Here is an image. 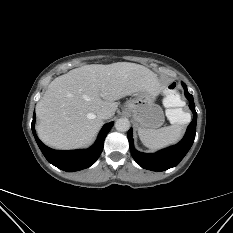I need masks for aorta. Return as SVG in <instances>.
Instances as JSON below:
<instances>
[{
    "mask_svg": "<svg viewBox=\"0 0 233 233\" xmlns=\"http://www.w3.org/2000/svg\"><path fill=\"white\" fill-rule=\"evenodd\" d=\"M115 128L117 131L126 132L130 128V122L128 119L120 118L115 122Z\"/></svg>",
    "mask_w": 233,
    "mask_h": 233,
    "instance_id": "obj_1",
    "label": "aorta"
}]
</instances>
